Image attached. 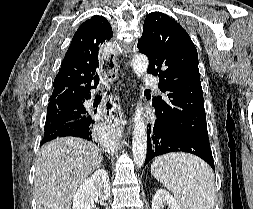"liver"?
Instances as JSON below:
<instances>
[{"label": "liver", "mask_w": 253, "mask_h": 209, "mask_svg": "<svg viewBox=\"0 0 253 209\" xmlns=\"http://www.w3.org/2000/svg\"><path fill=\"white\" fill-rule=\"evenodd\" d=\"M102 160L100 149L81 138H57L43 145L35 167L37 209H71L77 189Z\"/></svg>", "instance_id": "1"}]
</instances>
